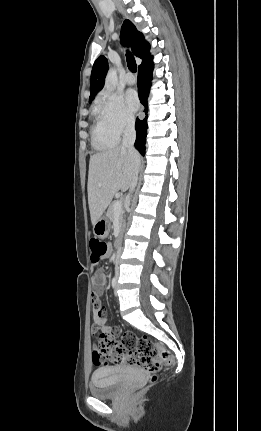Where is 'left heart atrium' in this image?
<instances>
[{"instance_id": "obj_1", "label": "left heart atrium", "mask_w": 261, "mask_h": 431, "mask_svg": "<svg viewBox=\"0 0 261 431\" xmlns=\"http://www.w3.org/2000/svg\"><path fill=\"white\" fill-rule=\"evenodd\" d=\"M124 99H125V103H126L127 108L131 112H135L138 110L139 100H138L137 94L134 90H132V89L127 90L125 95H124Z\"/></svg>"}]
</instances>
